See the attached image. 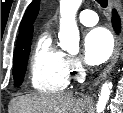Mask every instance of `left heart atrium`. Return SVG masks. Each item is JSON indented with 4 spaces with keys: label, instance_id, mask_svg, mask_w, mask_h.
<instances>
[{
    "label": "left heart atrium",
    "instance_id": "1",
    "mask_svg": "<svg viewBox=\"0 0 123 113\" xmlns=\"http://www.w3.org/2000/svg\"><path fill=\"white\" fill-rule=\"evenodd\" d=\"M86 61L90 64H100L106 61L113 51V39L105 28H95L84 37Z\"/></svg>",
    "mask_w": 123,
    "mask_h": 113
}]
</instances>
